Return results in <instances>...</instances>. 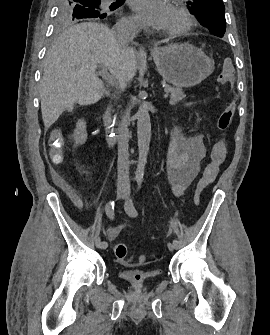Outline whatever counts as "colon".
Here are the masks:
<instances>
[{"label": "colon", "instance_id": "colon-1", "mask_svg": "<svg viewBox=\"0 0 270 335\" xmlns=\"http://www.w3.org/2000/svg\"><path fill=\"white\" fill-rule=\"evenodd\" d=\"M222 64H224V69L219 77V81L224 85L225 89H232V79H233V64L234 57H222ZM233 116V108L231 106H226L223 108L220 116L217 120V128L219 130H226L231 124V119ZM214 156L213 160L206 166L202 177L199 180V189L203 190L205 187L210 185L214 178L216 177L218 167L221 163H225V141H214ZM114 253L117 259L122 261H127L129 259L128 247L125 243H118L114 247Z\"/></svg>", "mask_w": 270, "mask_h": 335}]
</instances>
